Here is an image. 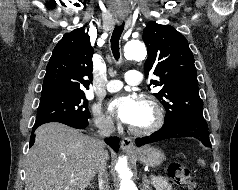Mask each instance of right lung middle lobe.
I'll list each match as a JSON object with an SVG mask.
<instances>
[{"label": "right lung middle lobe", "mask_w": 238, "mask_h": 190, "mask_svg": "<svg viewBox=\"0 0 238 190\" xmlns=\"http://www.w3.org/2000/svg\"><path fill=\"white\" fill-rule=\"evenodd\" d=\"M88 102L84 93H67L41 97L35 123L88 119Z\"/></svg>", "instance_id": "dd1d6c3e"}]
</instances>
